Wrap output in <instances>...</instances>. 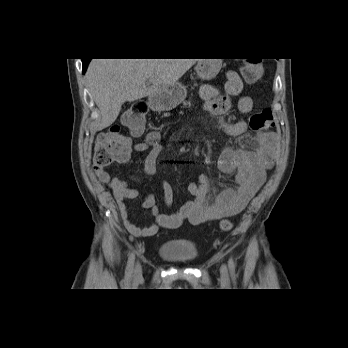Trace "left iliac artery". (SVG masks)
I'll list each match as a JSON object with an SVG mask.
<instances>
[{"instance_id":"1","label":"left iliac artery","mask_w":348,"mask_h":348,"mask_svg":"<svg viewBox=\"0 0 348 348\" xmlns=\"http://www.w3.org/2000/svg\"><path fill=\"white\" fill-rule=\"evenodd\" d=\"M229 268L231 269V271H234L235 264L232 259L229 260Z\"/></svg>"}]
</instances>
